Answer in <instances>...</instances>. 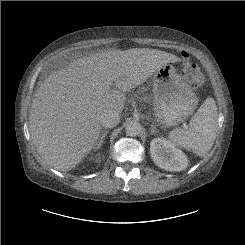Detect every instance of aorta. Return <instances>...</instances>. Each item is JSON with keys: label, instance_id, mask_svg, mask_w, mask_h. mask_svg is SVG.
I'll return each instance as SVG.
<instances>
[{"label": "aorta", "instance_id": "762f6f07", "mask_svg": "<svg viewBox=\"0 0 245 245\" xmlns=\"http://www.w3.org/2000/svg\"><path fill=\"white\" fill-rule=\"evenodd\" d=\"M141 124L136 120H131L126 124L125 131L128 136L135 137L141 133Z\"/></svg>", "mask_w": 245, "mask_h": 245}]
</instances>
